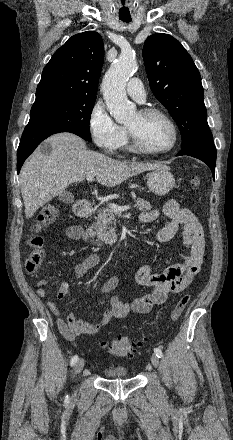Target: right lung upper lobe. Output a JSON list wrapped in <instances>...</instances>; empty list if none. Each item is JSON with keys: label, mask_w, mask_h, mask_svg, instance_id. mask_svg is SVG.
Listing matches in <instances>:
<instances>
[{"label": "right lung upper lobe", "mask_w": 233, "mask_h": 440, "mask_svg": "<svg viewBox=\"0 0 233 440\" xmlns=\"http://www.w3.org/2000/svg\"><path fill=\"white\" fill-rule=\"evenodd\" d=\"M103 60L100 34L87 31L72 36L45 66L35 103L57 97L96 99Z\"/></svg>", "instance_id": "right-lung-upper-lobe-1"}]
</instances>
